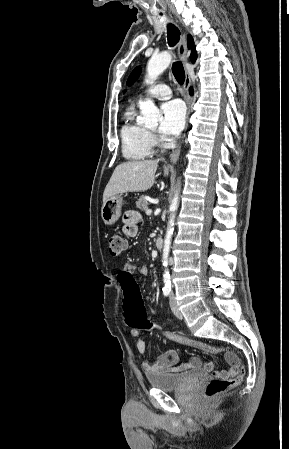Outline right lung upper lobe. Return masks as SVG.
Instances as JSON below:
<instances>
[{"label":"right lung upper lobe","instance_id":"cb5924a9","mask_svg":"<svg viewBox=\"0 0 289 449\" xmlns=\"http://www.w3.org/2000/svg\"><path fill=\"white\" fill-rule=\"evenodd\" d=\"M187 42H188V48L192 49L190 59H191V61L194 62L196 60V51H195V47L193 45L194 42H193V38L191 35L187 36Z\"/></svg>","mask_w":289,"mask_h":449}]
</instances>
